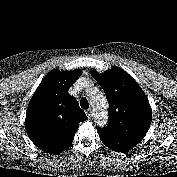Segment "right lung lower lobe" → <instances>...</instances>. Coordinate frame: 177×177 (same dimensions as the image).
Instances as JSON below:
<instances>
[{
    "label": "right lung lower lobe",
    "mask_w": 177,
    "mask_h": 177,
    "mask_svg": "<svg viewBox=\"0 0 177 177\" xmlns=\"http://www.w3.org/2000/svg\"><path fill=\"white\" fill-rule=\"evenodd\" d=\"M38 148H40L41 150H43L44 152H47L49 154H54L52 151L54 150V148L48 146V144H40V146H38ZM64 151V150H63ZM61 153V152H60ZM59 154V153H58Z\"/></svg>",
    "instance_id": "1"
}]
</instances>
